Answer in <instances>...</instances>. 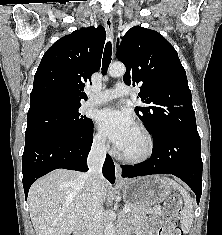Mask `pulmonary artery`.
<instances>
[{"mask_svg":"<svg viewBox=\"0 0 222 235\" xmlns=\"http://www.w3.org/2000/svg\"><path fill=\"white\" fill-rule=\"evenodd\" d=\"M130 95V89L125 84H117L112 89L103 90L97 94L90 93V97L86 102V106H96L107 103L119 97H126Z\"/></svg>","mask_w":222,"mask_h":235,"instance_id":"1","label":"pulmonary artery"}]
</instances>
